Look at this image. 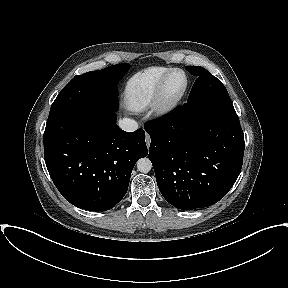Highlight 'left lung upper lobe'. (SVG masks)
<instances>
[{
	"label": "left lung upper lobe",
	"mask_w": 288,
	"mask_h": 288,
	"mask_svg": "<svg viewBox=\"0 0 288 288\" xmlns=\"http://www.w3.org/2000/svg\"><path fill=\"white\" fill-rule=\"evenodd\" d=\"M186 69L198 77L185 103L186 106L211 108L236 114L228 92L219 79L201 66H186Z\"/></svg>",
	"instance_id": "obj_1"
}]
</instances>
